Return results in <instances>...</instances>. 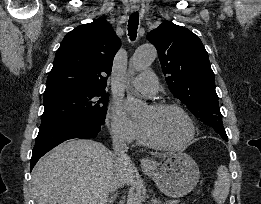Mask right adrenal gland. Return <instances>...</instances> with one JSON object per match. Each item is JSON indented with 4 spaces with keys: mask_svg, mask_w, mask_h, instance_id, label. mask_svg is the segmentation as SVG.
I'll list each match as a JSON object with an SVG mask.
<instances>
[{
    "mask_svg": "<svg viewBox=\"0 0 261 204\" xmlns=\"http://www.w3.org/2000/svg\"><path fill=\"white\" fill-rule=\"evenodd\" d=\"M117 198V193H114L108 200V204H112Z\"/></svg>",
    "mask_w": 261,
    "mask_h": 204,
    "instance_id": "right-adrenal-gland-1",
    "label": "right adrenal gland"
}]
</instances>
